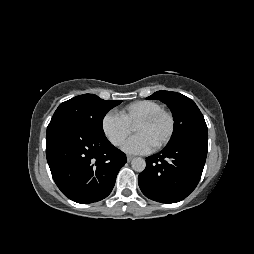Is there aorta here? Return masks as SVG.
<instances>
[{"instance_id":"obj_1","label":"aorta","mask_w":254,"mask_h":254,"mask_svg":"<svg viewBox=\"0 0 254 254\" xmlns=\"http://www.w3.org/2000/svg\"><path fill=\"white\" fill-rule=\"evenodd\" d=\"M131 167L136 172H142L146 167V161L141 157L134 158L131 161Z\"/></svg>"}]
</instances>
